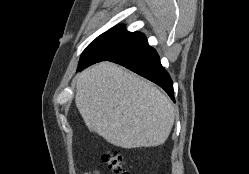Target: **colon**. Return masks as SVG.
Here are the masks:
<instances>
[{"mask_svg": "<svg viewBox=\"0 0 249 174\" xmlns=\"http://www.w3.org/2000/svg\"><path fill=\"white\" fill-rule=\"evenodd\" d=\"M105 166L115 174H131L125 169V159L119 151H106L102 155Z\"/></svg>", "mask_w": 249, "mask_h": 174, "instance_id": "1", "label": "colon"}]
</instances>
